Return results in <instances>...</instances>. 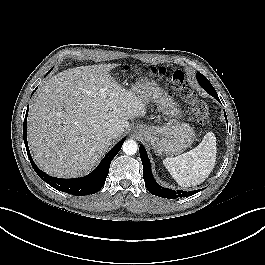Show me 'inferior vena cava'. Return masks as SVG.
<instances>
[{
  "label": "inferior vena cava",
  "mask_w": 265,
  "mask_h": 265,
  "mask_svg": "<svg viewBox=\"0 0 265 265\" xmlns=\"http://www.w3.org/2000/svg\"><path fill=\"white\" fill-rule=\"evenodd\" d=\"M106 134L109 138H115L117 136L116 130L113 128L108 129Z\"/></svg>",
  "instance_id": "inferior-vena-cava-1"
}]
</instances>
